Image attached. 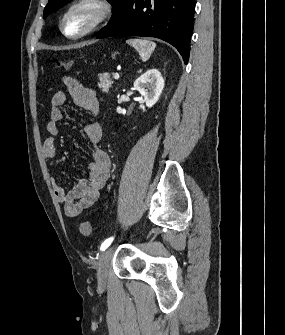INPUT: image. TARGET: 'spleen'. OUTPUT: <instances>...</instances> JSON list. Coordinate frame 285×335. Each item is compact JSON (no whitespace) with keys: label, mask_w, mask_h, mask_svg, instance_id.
<instances>
[{"label":"spleen","mask_w":285,"mask_h":335,"mask_svg":"<svg viewBox=\"0 0 285 335\" xmlns=\"http://www.w3.org/2000/svg\"><path fill=\"white\" fill-rule=\"evenodd\" d=\"M126 44L133 46L139 52L142 62H147L156 48L155 42H150V40H126Z\"/></svg>","instance_id":"spleen-1"}]
</instances>
